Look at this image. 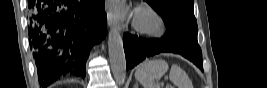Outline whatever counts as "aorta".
<instances>
[{"mask_svg": "<svg viewBox=\"0 0 267 88\" xmlns=\"http://www.w3.org/2000/svg\"><path fill=\"white\" fill-rule=\"evenodd\" d=\"M108 53L114 79L122 85L126 80V58L122 37L115 27L108 33Z\"/></svg>", "mask_w": 267, "mask_h": 88, "instance_id": "obj_1", "label": "aorta"}]
</instances>
